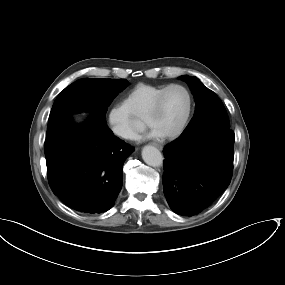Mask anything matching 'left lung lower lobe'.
Listing matches in <instances>:
<instances>
[{"mask_svg": "<svg viewBox=\"0 0 285 285\" xmlns=\"http://www.w3.org/2000/svg\"><path fill=\"white\" fill-rule=\"evenodd\" d=\"M234 140L230 128L203 126L165 146L164 195L175 213L197 215L228 187Z\"/></svg>", "mask_w": 285, "mask_h": 285, "instance_id": "obj_1", "label": "left lung lower lobe"}]
</instances>
